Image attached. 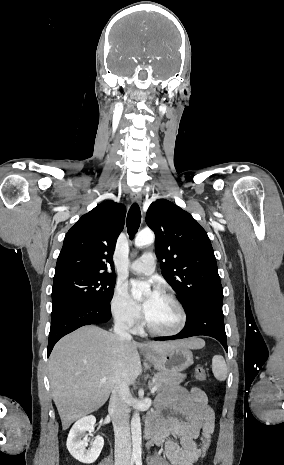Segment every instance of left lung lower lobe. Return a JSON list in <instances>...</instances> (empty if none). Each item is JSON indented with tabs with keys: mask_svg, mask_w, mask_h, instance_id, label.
Returning a JSON list of instances; mask_svg holds the SVG:
<instances>
[{
	"mask_svg": "<svg viewBox=\"0 0 284 465\" xmlns=\"http://www.w3.org/2000/svg\"><path fill=\"white\" fill-rule=\"evenodd\" d=\"M186 313L187 321L183 330L177 335L159 340L205 335L217 339L228 352L222 303L216 301L198 302L189 307Z\"/></svg>",
	"mask_w": 284,
	"mask_h": 465,
	"instance_id": "0a47b994",
	"label": "left lung lower lobe"
}]
</instances>
